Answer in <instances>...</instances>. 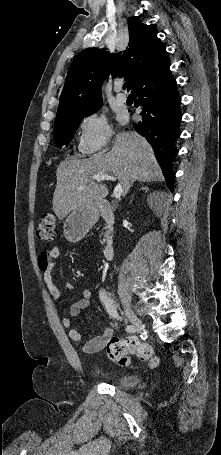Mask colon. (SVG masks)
I'll return each mask as SVG.
<instances>
[{
    "label": "colon",
    "instance_id": "1",
    "mask_svg": "<svg viewBox=\"0 0 221 455\" xmlns=\"http://www.w3.org/2000/svg\"><path fill=\"white\" fill-rule=\"evenodd\" d=\"M55 235L56 219L54 215L46 214L37 225V236L43 241H51ZM106 351L108 357L121 366L129 364L130 355H136L139 359L147 361L152 368L160 366V359L154 354L151 345L136 337H111L106 344Z\"/></svg>",
    "mask_w": 221,
    "mask_h": 455
}]
</instances>
